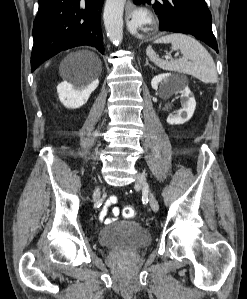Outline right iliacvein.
I'll return each mask as SVG.
<instances>
[{"mask_svg":"<svg viewBox=\"0 0 247 299\" xmlns=\"http://www.w3.org/2000/svg\"><path fill=\"white\" fill-rule=\"evenodd\" d=\"M100 196V189L99 187H97L94 191V195H93V201L97 202Z\"/></svg>","mask_w":247,"mask_h":299,"instance_id":"1","label":"right iliac vein"}]
</instances>
